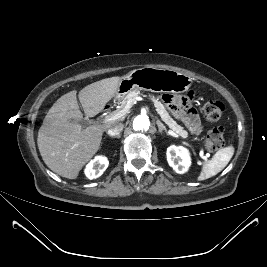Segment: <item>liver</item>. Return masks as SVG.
<instances>
[{"label":"liver","mask_w":267,"mask_h":267,"mask_svg":"<svg viewBox=\"0 0 267 267\" xmlns=\"http://www.w3.org/2000/svg\"><path fill=\"white\" fill-rule=\"evenodd\" d=\"M121 77L102 79L84 87L78 94L87 117L100 113L115 96ZM73 90L61 96L49 109L38 131L37 144L43 161L56 174L76 179L83 166L98 151L103 132L117 122L86 127ZM75 120V121H72Z\"/></svg>","instance_id":"liver-1"}]
</instances>
